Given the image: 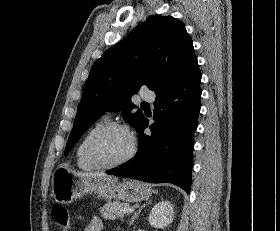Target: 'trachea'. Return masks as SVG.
Instances as JSON below:
<instances>
[{
	"label": "trachea",
	"instance_id": "obj_1",
	"mask_svg": "<svg viewBox=\"0 0 280 231\" xmlns=\"http://www.w3.org/2000/svg\"><path fill=\"white\" fill-rule=\"evenodd\" d=\"M141 108L144 109V110H150V105L149 103H146V102H143L141 103Z\"/></svg>",
	"mask_w": 280,
	"mask_h": 231
}]
</instances>
